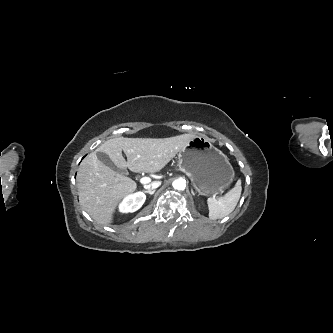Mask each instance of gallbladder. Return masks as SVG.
<instances>
[{"mask_svg":"<svg viewBox=\"0 0 333 333\" xmlns=\"http://www.w3.org/2000/svg\"><path fill=\"white\" fill-rule=\"evenodd\" d=\"M98 159L105 165L109 166L110 168L114 169L116 172L120 174H128L127 170L124 168H118L116 167L112 161L110 160L109 156L103 152H98L97 153Z\"/></svg>","mask_w":333,"mask_h":333,"instance_id":"obj_1","label":"gallbladder"}]
</instances>
